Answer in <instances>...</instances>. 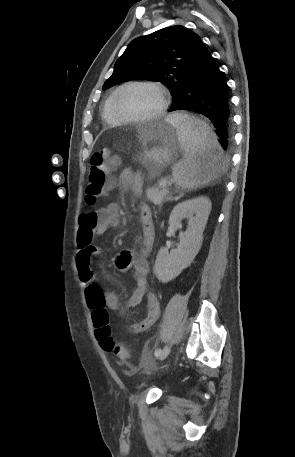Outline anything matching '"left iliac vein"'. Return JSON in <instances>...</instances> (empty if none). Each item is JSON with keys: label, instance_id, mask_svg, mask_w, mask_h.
Wrapping results in <instances>:
<instances>
[{"label": "left iliac vein", "instance_id": "obj_1", "mask_svg": "<svg viewBox=\"0 0 295 457\" xmlns=\"http://www.w3.org/2000/svg\"><path fill=\"white\" fill-rule=\"evenodd\" d=\"M170 350H171L170 345H166V346L163 348L161 354L158 356L159 359H160V360H164V359L169 355Z\"/></svg>", "mask_w": 295, "mask_h": 457}]
</instances>
